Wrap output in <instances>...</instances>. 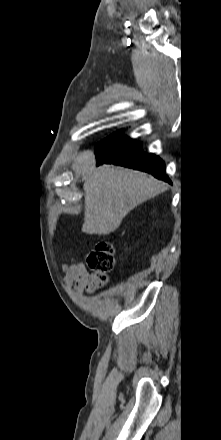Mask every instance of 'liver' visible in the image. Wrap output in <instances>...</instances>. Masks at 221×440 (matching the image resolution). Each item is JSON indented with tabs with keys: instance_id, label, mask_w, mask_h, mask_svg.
Here are the masks:
<instances>
[{
	"instance_id": "obj_1",
	"label": "liver",
	"mask_w": 221,
	"mask_h": 440,
	"mask_svg": "<svg viewBox=\"0 0 221 440\" xmlns=\"http://www.w3.org/2000/svg\"><path fill=\"white\" fill-rule=\"evenodd\" d=\"M92 151L81 152L73 166L84 181L85 217L82 231L108 235L137 205L165 190V184L145 173L104 165L95 167Z\"/></svg>"
}]
</instances>
